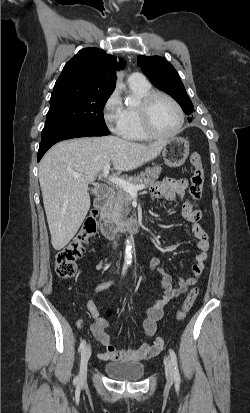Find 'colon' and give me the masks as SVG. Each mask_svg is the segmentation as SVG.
Listing matches in <instances>:
<instances>
[{"mask_svg":"<svg viewBox=\"0 0 250 413\" xmlns=\"http://www.w3.org/2000/svg\"><path fill=\"white\" fill-rule=\"evenodd\" d=\"M190 161L194 167V172L191 177L189 201L195 205L202 195L205 175L200 154L193 153L190 157ZM96 233L97 215L92 212L91 215L85 220L76 236L66 246L60 249L55 256L56 272L60 278L70 279L77 274V260L84 253L86 244L93 236L96 235ZM198 293L199 289L197 287H193L190 290L186 300L176 314L178 321L185 319L187 313L192 308ZM153 345L156 349L162 350L165 345L163 338L157 337L153 342Z\"/></svg>","mask_w":250,"mask_h":413,"instance_id":"5ec220e1","label":"colon"}]
</instances>
